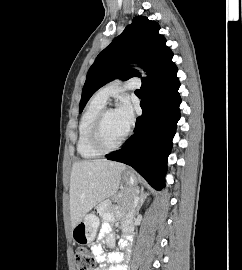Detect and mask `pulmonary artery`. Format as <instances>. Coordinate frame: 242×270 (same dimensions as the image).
<instances>
[{
    "instance_id": "pulmonary-artery-1",
    "label": "pulmonary artery",
    "mask_w": 242,
    "mask_h": 270,
    "mask_svg": "<svg viewBox=\"0 0 242 270\" xmlns=\"http://www.w3.org/2000/svg\"><path fill=\"white\" fill-rule=\"evenodd\" d=\"M139 87L140 81L137 78H130L125 82L113 81L99 89L94 95V98L106 103L111 96L116 95L123 90H133L138 89Z\"/></svg>"
}]
</instances>
